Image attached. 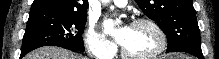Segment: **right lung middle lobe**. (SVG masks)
I'll return each mask as SVG.
<instances>
[{
  "mask_svg": "<svg viewBox=\"0 0 219 59\" xmlns=\"http://www.w3.org/2000/svg\"><path fill=\"white\" fill-rule=\"evenodd\" d=\"M86 17L87 14L29 13L21 55L24 56L42 46H58L68 50L84 51L81 34L85 28Z\"/></svg>",
  "mask_w": 219,
  "mask_h": 59,
  "instance_id": "right-lung-middle-lobe-1",
  "label": "right lung middle lobe"
}]
</instances>
